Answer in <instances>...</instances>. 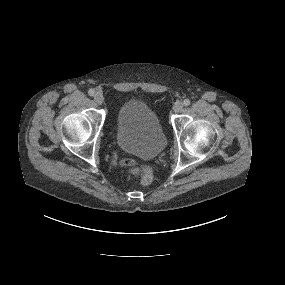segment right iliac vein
Here are the masks:
<instances>
[{
  "label": "right iliac vein",
  "mask_w": 285,
  "mask_h": 285,
  "mask_svg": "<svg viewBox=\"0 0 285 285\" xmlns=\"http://www.w3.org/2000/svg\"><path fill=\"white\" fill-rule=\"evenodd\" d=\"M94 100L98 105H101L104 102V97L102 94H96Z\"/></svg>",
  "instance_id": "63e3f726"
}]
</instances>
